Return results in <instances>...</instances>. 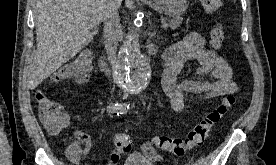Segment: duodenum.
<instances>
[{"label": "duodenum", "instance_id": "410a0bca", "mask_svg": "<svg viewBox=\"0 0 276 165\" xmlns=\"http://www.w3.org/2000/svg\"><path fill=\"white\" fill-rule=\"evenodd\" d=\"M99 64H100V67L102 69L103 72H105L107 75H111V69L105 59L104 56H100L99 58ZM166 66L165 62H164V67Z\"/></svg>", "mask_w": 276, "mask_h": 165}]
</instances>
